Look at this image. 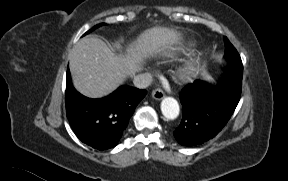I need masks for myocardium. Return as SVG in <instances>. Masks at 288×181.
<instances>
[{
  "mask_svg": "<svg viewBox=\"0 0 288 181\" xmlns=\"http://www.w3.org/2000/svg\"><path fill=\"white\" fill-rule=\"evenodd\" d=\"M192 75V71L191 70H186L181 74V78L182 79H187Z\"/></svg>",
  "mask_w": 288,
  "mask_h": 181,
  "instance_id": "f54148a6",
  "label": "myocardium"
}]
</instances>
